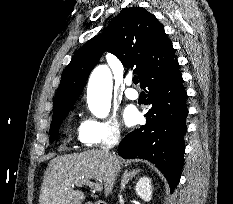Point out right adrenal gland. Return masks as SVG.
I'll return each mask as SVG.
<instances>
[{
    "instance_id": "right-adrenal-gland-1",
    "label": "right adrenal gland",
    "mask_w": 233,
    "mask_h": 204,
    "mask_svg": "<svg viewBox=\"0 0 233 204\" xmlns=\"http://www.w3.org/2000/svg\"><path fill=\"white\" fill-rule=\"evenodd\" d=\"M140 170L139 169H134L132 171H128L126 170L122 176V180H121V192L124 191L127 183L129 182L130 179H132L137 173H139Z\"/></svg>"
}]
</instances>
